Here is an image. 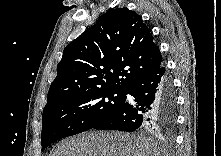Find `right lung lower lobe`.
Here are the masks:
<instances>
[{
    "mask_svg": "<svg viewBox=\"0 0 221 156\" xmlns=\"http://www.w3.org/2000/svg\"><path fill=\"white\" fill-rule=\"evenodd\" d=\"M126 95L132 100L126 98L118 110L93 129L133 132L143 127H174L176 96L164 64L131 83Z\"/></svg>",
    "mask_w": 221,
    "mask_h": 156,
    "instance_id": "98d812e1",
    "label": "right lung lower lobe"
}]
</instances>
